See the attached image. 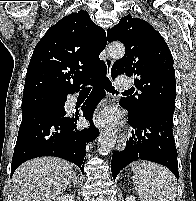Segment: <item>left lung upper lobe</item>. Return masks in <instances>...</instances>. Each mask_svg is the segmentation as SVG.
<instances>
[{
	"label": "left lung upper lobe",
	"mask_w": 196,
	"mask_h": 201,
	"mask_svg": "<svg viewBox=\"0 0 196 201\" xmlns=\"http://www.w3.org/2000/svg\"><path fill=\"white\" fill-rule=\"evenodd\" d=\"M107 41H120L126 47L124 57L111 68L112 78L134 75L135 87L141 90V94L124 98L122 106L132 115L147 109L174 113V61L163 37L148 22L128 15L107 30Z\"/></svg>",
	"instance_id": "left-lung-upper-lobe-1"
}]
</instances>
